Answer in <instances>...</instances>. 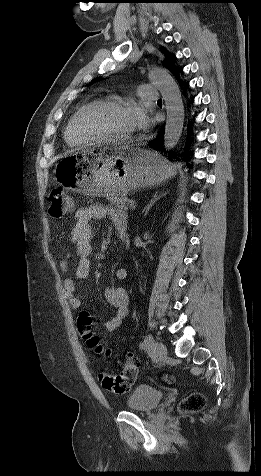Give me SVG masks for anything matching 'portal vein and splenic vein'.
I'll use <instances>...</instances> for the list:
<instances>
[{"label":"portal vein and splenic vein","instance_id":"18ae733b","mask_svg":"<svg viewBox=\"0 0 261 476\" xmlns=\"http://www.w3.org/2000/svg\"><path fill=\"white\" fill-rule=\"evenodd\" d=\"M129 207H130V209H135V208H136V203H135V201L130 200V201H129Z\"/></svg>","mask_w":261,"mask_h":476}]
</instances>
